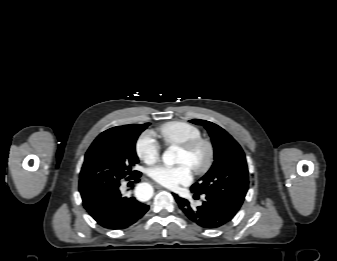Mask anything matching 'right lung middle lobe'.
Listing matches in <instances>:
<instances>
[{
  "label": "right lung middle lobe",
  "mask_w": 337,
  "mask_h": 261,
  "mask_svg": "<svg viewBox=\"0 0 337 261\" xmlns=\"http://www.w3.org/2000/svg\"><path fill=\"white\" fill-rule=\"evenodd\" d=\"M148 125L113 127L94 140L86 152L80 172L79 191L83 201L140 173L133 170V166L139 162L135 143Z\"/></svg>",
  "instance_id": "dd1d6c3e"
}]
</instances>
